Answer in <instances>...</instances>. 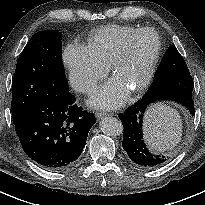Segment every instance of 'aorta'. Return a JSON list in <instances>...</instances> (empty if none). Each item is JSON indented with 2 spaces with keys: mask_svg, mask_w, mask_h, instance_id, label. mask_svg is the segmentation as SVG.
Wrapping results in <instances>:
<instances>
[{
  "mask_svg": "<svg viewBox=\"0 0 205 205\" xmlns=\"http://www.w3.org/2000/svg\"><path fill=\"white\" fill-rule=\"evenodd\" d=\"M100 130L108 136H117L122 134L123 125L120 120L113 117H106L100 121Z\"/></svg>",
  "mask_w": 205,
  "mask_h": 205,
  "instance_id": "aorta-1",
  "label": "aorta"
}]
</instances>
